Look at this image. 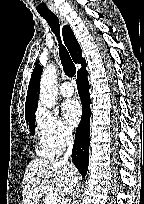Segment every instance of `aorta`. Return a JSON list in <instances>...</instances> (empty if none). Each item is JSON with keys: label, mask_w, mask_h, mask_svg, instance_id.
<instances>
[{"label": "aorta", "mask_w": 144, "mask_h": 204, "mask_svg": "<svg viewBox=\"0 0 144 204\" xmlns=\"http://www.w3.org/2000/svg\"><path fill=\"white\" fill-rule=\"evenodd\" d=\"M40 102L47 108H52L55 105L57 97V71L53 65H48L40 80ZM73 204H78L75 201Z\"/></svg>", "instance_id": "aorta-1"}]
</instances>
